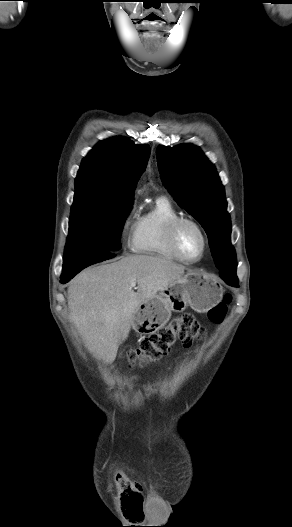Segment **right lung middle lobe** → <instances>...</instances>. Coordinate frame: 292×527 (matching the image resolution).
Returning <instances> with one entry per match:
<instances>
[{"mask_svg":"<svg viewBox=\"0 0 292 527\" xmlns=\"http://www.w3.org/2000/svg\"><path fill=\"white\" fill-rule=\"evenodd\" d=\"M133 200L114 201L95 191H75L71 208L67 255L117 251L124 221Z\"/></svg>","mask_w":292,"mask_h":527,"instance_id":"dd1d6c3e","label":"right lung middle lobe"}]
</instances>
